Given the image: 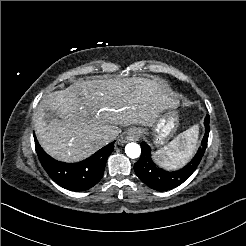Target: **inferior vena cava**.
<instances>
[{
	"label": "inferior vena cava",
	"mask_w": 246,
	"mask_h": 246,
	"mask_svg": "<svg viewBox=\"0 0 246 246\" xmlns=\"http://www.w3.org/2000/svg\"><path fill=\"white\" fill-rule=\"evenodd\" d=\"M118 134H119V131H118L117 129H115V130H112V131L109 133L108 137H109V138H112V139H115V138L117 137Z\"/></svg>",
	"instance_id": "inferior-vena-cava-1"
}]
</instances>
